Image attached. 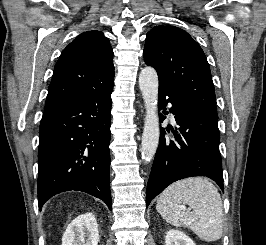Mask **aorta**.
Wrapping results in <instances>:
<instances>
[{
	"mask_svg": "<svg viewBox=\"0 0 266 245\" xmlns=\"http://www.w3.org/2000/svg\"><path fill=\"white\" fill-rule=\"evenodd\" d=\"M139 86L145 104L146 116L141 143V157L150 163L159 145L158 74L153 66H145L139 74Z\"/></svg>",
	"mask_w": 266,
	"mask_h": 245,
	"instance_id": "762f6f07",
	"label": "aorta"
}]
</instances>
